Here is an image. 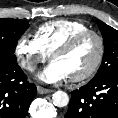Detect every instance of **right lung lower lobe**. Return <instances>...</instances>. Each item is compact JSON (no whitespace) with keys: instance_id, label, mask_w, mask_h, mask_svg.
I'll list each match as a JSON object with an SVG mask.
<instances>
[{"instance_id":"obj_1","label":"right lung lower lobe","mask_w":118,"mask_h":118,"mask_svg":"<svg viewBox=\"0 0 118 118\" xmlns=\"http://www.w3.org/2000/svg\"><path fill=\"white\" fill-rule=\"evenodd\" d=\"M36 94L17 63L0 62V118H25Z\"/></svg>"}]
</instances>
